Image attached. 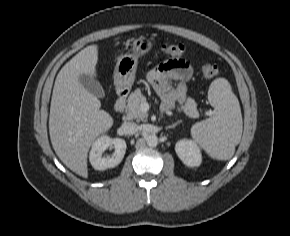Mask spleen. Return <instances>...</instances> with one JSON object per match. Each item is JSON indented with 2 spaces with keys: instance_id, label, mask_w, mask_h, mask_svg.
<instances>
[{
  "instance_id": "1",
  "label": "spleen",
  "mask_w": 290,
  "mask_h": 236,
  "mask_svg": "<svg viewBox=\"0 0 290 236\" xmlns=\"http://www.w3.org/2000/svg\"><path fill=\"white\" fill-rule=\"evenodd\" d=\"M215 115L194 124L191 136L212 158L228 160L242 135L243 122L238 98L225 78L215 79L208 90Z\"/></svg>"
}]
</instances>
